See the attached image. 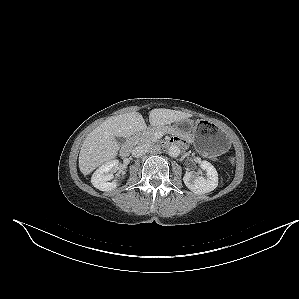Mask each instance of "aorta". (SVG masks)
<instances>
[{"instance_id":"1","label":"aorta","mask_w":299,"mask_h":299,"mask_svg":"<svg viewBox=\"0 0 299 299\" xmlns=\"http://www.w3.org/2000/svg\"><path fill=\"white\" fill-rule=\"evenodd\" d=\"M168 154L171 157H178L180 154V148L177 145H171L168 148Z\"/></svg>"}]
</instances>
